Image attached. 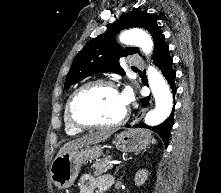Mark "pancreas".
Segmentation results:
<instances>
[{"mask_svg":"<svg viewBox=\"0 0 221 193\" xmlns=\"http://www.w3.org/2000/svg\"><path fill=\"white\" fill-rule=\"evenodd\" d=\"M110 160H111V158L106 157L101 162H95L91 166V168H93V170H94V175L95 176H100V175L106 173L107 170H108V163L107 162L110 161Z\"/></svg>","mask_w":221,"mask_h":193,"instance_id":"obj_1","label":"pancreas"}]
</instances>
